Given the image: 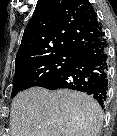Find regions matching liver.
<instances>
[{
  "mask_svg": "<svg viewBox=\"0 0 117 136\" xmlns=\"http://www.w3.org/2000/svg\"><path fill=\"white\" fill-rule=\"evenodd\" d=\"M103 121L100 105L78 91L32 87L11 105L12 136H97Z\"/></svg>",
  "mask_w": 117,
  "mask_h": 136,
  "instance_id": "1",
  "label": "liver"
}]
</instances>
